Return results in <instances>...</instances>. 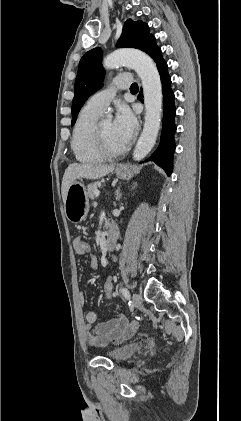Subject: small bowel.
I'll return each instance as SVG.
<instances>
[{
	"label": "small bowel",
	"instance_id": "1",
	"mask_svg": "<svg viewBox=\"0 0 241 421\" xmlns=\"http://www.w3.org/2000/svg\"><path fill=\"white\" fill-rule=\"evenodd\" d=\"M81 241L80 237H76L73 241V245L76 251V246ZM98 259L96 256H90V268L92 270L97 269ZM79 300L84 303V294H79ZM97 320V314L95 311H88L85 315V329L87 331L88 343L96 348H104L109 343H120L123 340L132 336L138 329V324L135 321H129L128 318L122 314H118L115 318L100 323L94 328V324Z\"/></svg>",
	"mask_w": 241,
	"mask_h": 421
}]
</instances>
